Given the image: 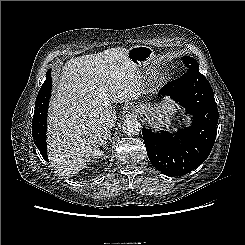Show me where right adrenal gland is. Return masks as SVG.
Wrapping results in <instances>:
<instances>
[{"instance_id":"2a0ac1e0","label":"right adrenal gland","mask_w":245,"mask_h":245,"mask_svg":"<svg viewBox=\"0 0 245 245\" xmlns=\"http://www.w3.org/2000/svg\"><path fill=\"white\" fill-rule=\"evenodd\" d=\"M111 140V131H109V133H108V135H107V137H106V139H105V142H106V140Z\"/></svg>"}]
</instances>
